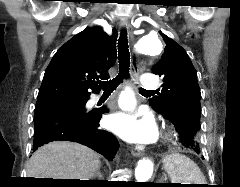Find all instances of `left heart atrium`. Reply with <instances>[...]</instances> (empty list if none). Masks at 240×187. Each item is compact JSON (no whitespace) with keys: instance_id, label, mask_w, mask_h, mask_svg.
I'll return each instance as SVG.
<instances>
[{"instance_id":"39dd6f15","label":"left heart atrium","mask_w":240,"mask_h":187,"mask_svg":"<svg viewBox=\"0 0 240 187\" xmlns=\"http://www.w3.org/2000/svg\"><path fill=\"white\" fill-rule=\"evenodd\" d=\"M108 127L123 139L134 143L153 142L157 136L156 124L152 117L137 119L128 114H116L107 121Z\"/></svg>"}]
</instances>
